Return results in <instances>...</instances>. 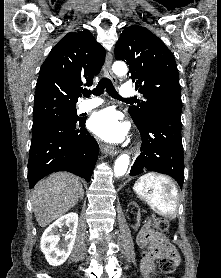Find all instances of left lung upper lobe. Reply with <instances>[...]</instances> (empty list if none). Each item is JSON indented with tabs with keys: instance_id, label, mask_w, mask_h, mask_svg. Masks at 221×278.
Returning a JSON list of instances; mask_svg holds the SVG:
<instances>
[{
	"instance_id": "obj_1",
	"label": "left lung upper lobe",
	"mask_w": 221,
	"mask_h": 278,
	"mask_svg": "<svg viewBox=\"0 0 221 278\" xmlns=\"http://www.w3.org/2000/svg\"><path fill=\"white\" fill-rule=\"evenodd\" d=\"M115 58L128 63L130 77L145 98L139 107L129 108L136 124L141 125L158 114L181 116L175 58L156 35L142 26L126 27L115 46Z\"/></svg>"
}]
</instances>
